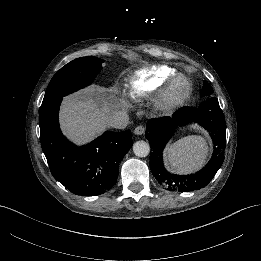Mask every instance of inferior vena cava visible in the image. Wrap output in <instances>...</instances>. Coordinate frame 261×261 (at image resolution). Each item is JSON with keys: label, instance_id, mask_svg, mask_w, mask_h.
<instances>
[{"label": "inferior vena cava", "instance_id": "inferior-vena-cava-1", "mask_svg": "<svg viewBox=\"0 0 261 261\" xmlns=\"http://www.w3.org/2000/svg\"><path fill=\"white\" fill-rule=\"evenodd\" d=\"M128 115L124 112H116L115 115L110 117L109 124L118 129H124L128 125Z\"/></svg>", "mask_w": 261, "mask_h": 261}]
</instances>
